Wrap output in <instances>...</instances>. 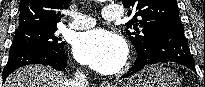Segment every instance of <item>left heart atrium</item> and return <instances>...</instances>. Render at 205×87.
Listing matches in <instances>:
<instances>
[{"instance_id": "obj_1", "label": "left heart atrium", "mask_w": 205, "mask_h": 87, "mask_svg": "<svg viewBox=\"0 0 205 87\" xmlns=\"http://www.w3.org/2000/svg\"><path fill=\"white\" fill-rule=\"evenodd\" d=\"M75 58L92 69L113 74L124 65L127 46L123 38L104 29L79 34L73 46Z\"/></svg>"}]
</instances>
